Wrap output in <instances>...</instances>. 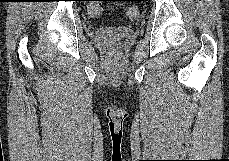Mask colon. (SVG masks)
<instances>
[{
  "mask_svg": "<svg viewBox=\"0 0 229 161\" xmlns=\"http://www.w3.org/2000/svg\"><path fill=\"white\" fill-rule=\"evenodd\" d=\"M88 12L92 17H99L103 14V6L101 0H91L88 6ZM126 15L129 19L135 20L139 17L140 11L136 6L127 9Z\"/></svg>",
  "mask_w": 229,
  "mask_h": 161,
  "instance_id": "obj_1",
  "label": "colon"
}]
</instances>
